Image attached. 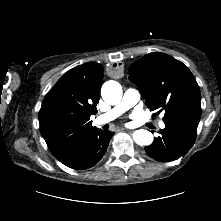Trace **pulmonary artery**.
Segmentation results:
<instances>
[{
  "instance_id": "e3ab8cb5",
  "label": "pulmonary artery",
  "mask_w": 221,
  "mask_h": 221,
  "mask_svg": "<svg viewBox=\"0 0 221 221\" xmlns=\"http://www.w3.org/2000/svg\"><path fill=\"white\" fill-rule=\"evenodd\" d=\"M140 100V93L135 89H127L122 97L121 102L111 110L98 116L94 123L97 126L104 125L117 118L119 115L135 106ZM161 128H165L163 122L160 123Z\"/></svg>"
}]
</instances>
